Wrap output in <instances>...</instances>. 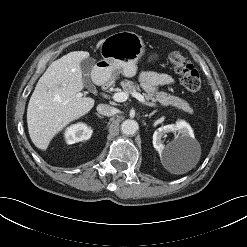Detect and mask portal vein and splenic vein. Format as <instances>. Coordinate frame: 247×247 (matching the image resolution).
I'll use <instances>...</instances> for the list:
<instances>
[{"mask_svg": "<svg viewBox=\"0 0 247 247\" xmlns=\"http://www.w3.org/2000/svg\"><path fill=\"white\" fill-rule=\"evenodd\" d=\"M133 97H135L137 100H139L141 103L147 105V106H151V107H155L156 104L151 103V102H147L144 98L143 95H141L138 92H133L131 93ZM114 101L116 102H125L128 98H129V94L127 92H118V93H114L113 97Z\"/></svg>", "mask_w": 247, "mask_h": 247, "instance_id": "obj_1", "label": "portal vein and splenic vein"}]
</instances>
